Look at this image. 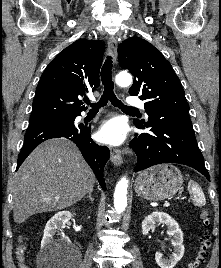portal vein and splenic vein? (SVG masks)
<instances>
[{
    "instance_id": "obj_1",
    "label": "portal vein and splenic vein",
    "mask_w": 221,
    "mask_h": 268,
    "mask_svg": "<svg viewBox=\"0 0 221 268\" xmlns=\"http://www.w3.org/2000/svg\"><path fill=\"white\" fill-rule=\"evenodd\" d=\"M170 206V203L169 202H165L164 203V207H169Z\"/></svg>"
}]
</instances>
